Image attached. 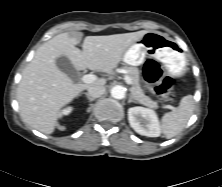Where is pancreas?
I'll use <instances>...</instances> for the list:
<instances>
[{
  "label": "pancreas",
  "instance_id": "1",
  "mask_svg": "<svg viewBox=\"0 0 222 187\" xmlns=\"http://www.w3.org/2000/svg\"><path fill=\"white\" fill-rule=\"evenodd\" d=\"M131 79V95L140 104L152 109H157V102L146 96L140 86V72L136 67L125 66L122 68Z\"/></svg>",
  "mask_w": 222,
  "mask_h": 187
}]
</instances>
